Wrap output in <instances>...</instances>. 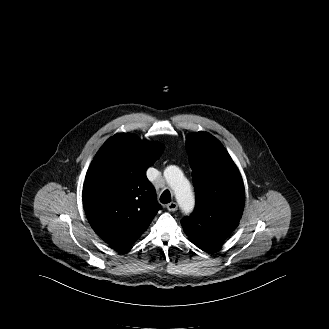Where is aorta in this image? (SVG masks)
Returning a JSON list of instances; mask_svg holds the SVG:
<instances>
[{
    "label": "aorta",
    "mask_w": 329,
    "mask_h": 329,
    "mask_svg": "<svg viewBox=\"0 0 329 329\" xmlns=\"http://www.w3.org/2000/svg\"><path fill=\"white\" fill-rule=\"evenodd\" d=\"M164 177L173 190L181 209L185 212L191 211L194 207V195L182 171L177 166L171 165L164 170Z\"/></svg>",
    "instance_id": "762f6f07"
}]
</instances>
